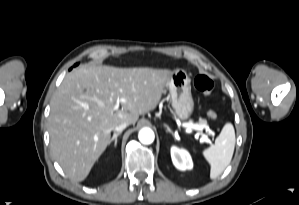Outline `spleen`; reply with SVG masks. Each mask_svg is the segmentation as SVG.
I'll return each instance as SVG.
<instances>
[{
  "label": "spleen",
  "instance_id": "obj_1",
  "mask_svg": "<svg viewBox=\"0 0 299 205\" xmlns=\"http://www.w3.org/2000/svg\"><path fill=\"white\" fill-rule=\"evenodd\" d=\"M235 130L231 123H226L217 136L215 143L202 154L211 166L210 178L216 179L230 164L235 147Z\"/></svg>",
  "mask_w": 299,
  "mask_h": 205
}]
</instances>
